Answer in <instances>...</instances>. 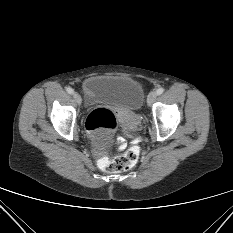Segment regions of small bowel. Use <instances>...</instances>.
I'll list each match as a JSON object with an SVG mask.
<instances>
[{
    "label": "small bowel",
    "mask_w": 233,
    "mask_h": 233,
    "mask_svg": "<svg viewBox=\"0 0 233 233\" xmlns=\"http://www.w3.org/2000/svg\"><path fill=\"white\" fill-rule=\"evenodd\" d=\"M124 146H125V144H124L123 140L120 139L119 140V149H124Z\"/></svg>",
    "instance_id": "1"
}]
</instances>
